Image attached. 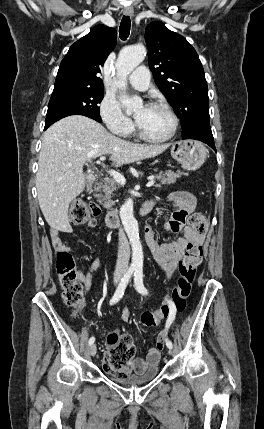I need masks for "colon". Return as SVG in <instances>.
I'll use <instances>...</instances> for the list:
<instances>
[{
	"mask_svg": "<svg viewBox=\"0 0 264 429\" xmlns=\"http://www.w3.org/2000/svg\"><path fill=\"white\" fill-rule=\"evenodd\" d=\"M100 213L95 203H88L83 199H76L70 207V219L74 224H83L91 216ZM189 223L193 229L204 232L207 228V215L201 212L192 214ZM201 245H191L179 262V278L172 290V301L176 312L181 313L186 307L191 293L192 283L196 276L198 265L202 260ZM56 271L62 288L65 303L74 309L76 316L80 315L85 307L83 287L78 280V272L73 256L68 251H59L56 258ZM170 312L167 304H162L155 311L144 312L141 322L146 327L157 326ZM109 354L105 357L106 372L118 377H126L131 373L130 366L135 355V347L128 335L112 333L107 337ZM156 347L160 350L164 347V335L159 334Z\"/></svg>",
	"mask_w": 264,
	"mask_h": 429,
	"instance_id": "colon-1",
	"label": "colon"
}]
</instances>
